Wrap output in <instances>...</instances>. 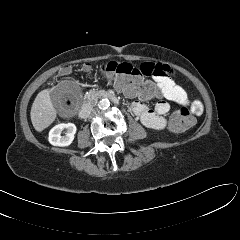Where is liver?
I'll use <instances>...</instances> for the list:
<instances>
[{"instance_id": "1", "label": "liver", "mask_w": 240, "mask_h": 240, "mask_svg": "<svg viewBox=\"0 0 240 240\" xmlns=\"http://www.w3.org/2000/svg\"><path fill=\"white\" fill-rule=\"evenodd\" d=\"M30 116L32 125L38 132L43 131L54 122L57 113L52 104L49 90L38 93L32 104Z\"/></svg>"}]
</instances>
